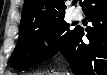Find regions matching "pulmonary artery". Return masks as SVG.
I'll list each match as a JSON object with an SVG mask.
<instances>
[{
	"instance_id": "pulmonary-artery-1",
	"label": "pulmonary artery",
	"mask_w": 107,
	"mask_h": 75,
	"mask_svg": "<svg viewBox=\"0 0 107 75\" xmlns=\"http://www.w3.org/2000/svg\"><path fill=\"white\" fill-rule=\"evenodd\" d=\"M72 17L74 19H79L81 17V12L78 9L72 11Z\"/></svg>"
}]
</instances>
